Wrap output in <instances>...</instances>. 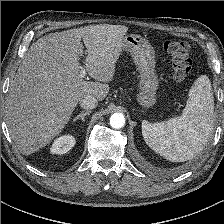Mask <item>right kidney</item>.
<instances>
[{
	"label": "right kidney",
	"mask_w": 224,
	"mask_h": 224,
	"mask_svg": "<svg viewBox=\"0 0 224 224\" xmlns=\"http://www.w3.org/2000/svg\"><path fill=\"white\" fill-rule=\"evenodd\" d=\"M75 145V138L72 135H64L57 138L50 151L52 154H65Z\"/></svg>",
	"instance_id": "1"
}]
</instances>
